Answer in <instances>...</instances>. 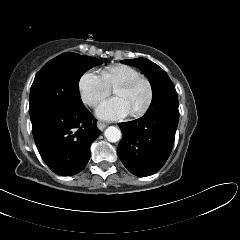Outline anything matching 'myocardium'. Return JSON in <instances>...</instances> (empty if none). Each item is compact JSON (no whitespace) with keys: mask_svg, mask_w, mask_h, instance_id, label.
Listing matches in <instances>:
<instances>
[{"mask_svg":"<svg viewBox=\"0 0 240 240\" xmlns=\"http://www.w3.org/2000/svg\"><path fill=\"white\" fill-rule=\"evenodd\" d=\"M140 83H143L147 86L148 97H147L145 104L140 109L132 112V115L135 117H139V116H142L145 113H147L153 103L154 88H153L152 82L147 77L140 76L138 78L123 82L114 88V90L117 88L131 89Z\"/></svg>","mask_w":240,"mask_h":240,"instance_id":"f54148a6","label":"myocardium"}]
</instances>
